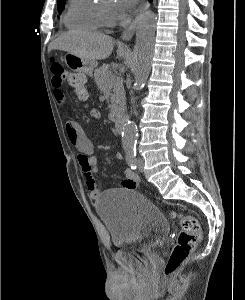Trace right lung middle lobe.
I'll use <instances>...</instances> for the list:
<instances>
[{
  "label": "right lung middle lobe",
  "mask_w": 245,
  "mask_h": 300,
  "mask_svg": "<svg viewBox=\"0 0 245 300\" xmlns=\"http://www.w3.org/2000/svg\"><path fill=\"white\" fill-rule=\"evenodd\" d=\"M64 0H61L58 2V11L61 13L62 10L64 9Z\"/></svg>",
  "instance_id": "dd1d6c3e"
}]
</instances>
